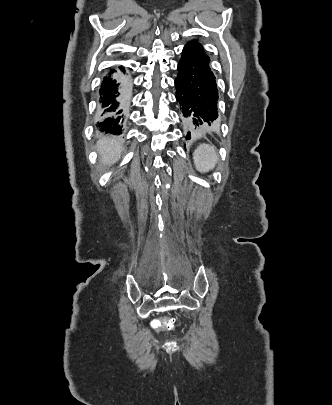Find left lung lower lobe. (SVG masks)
I'll return each instance as SVG.
<instances>
[{"label": "left lung lower lobe", "instance_id": "obj_1", "mask_svg": "<svg viewBox=\"0 0 332 405\" xmlns=\"http://www.w3.org/2000/svg\"><path fill=\"white\" fill-rule=\"evenodd\" d=\"M209 61L202 47L187 43L178 63L176 100L187 140L192 133L202 132L215 123L219 116L218 90Z\"/></svg>", "mask_w": 332, "mask_h": 405}]
</instances>
